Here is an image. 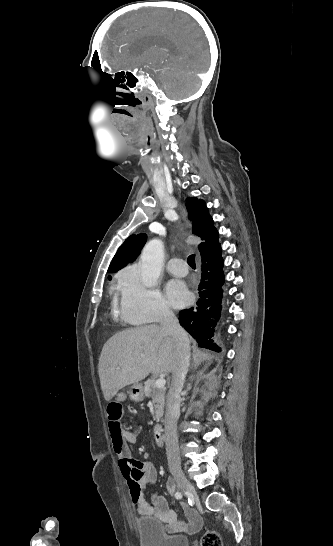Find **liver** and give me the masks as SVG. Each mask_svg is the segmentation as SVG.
Masks as SVG:
<instances>
[{"mask_svg":"<svg viewBox=\"0 0 333 546\" xmlns=\"http://www.w3.org/2000/svg\"><path fill=\"white\" fill-rule=\"evenodd\" d=\"M177 365L175 342L157 325L129 329L113 335L103 346L98 363L106 401L150 373L173 372Z\"/></svg>","mask_w":333,"mask_h":546,"instance_id":"liver-1","label":"liver"}]
</instances>
